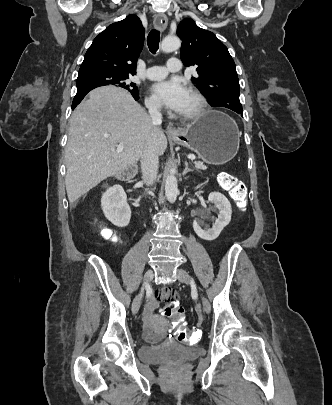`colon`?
Instances as JSON below:
<instances>
[{
    "mask_svg": "<svg viewBox=\"0 0 332 405\" xmlns=\"http://www.w3.org/2000/svg\"><path fill=\"white\" fill-rule=\"evenodd\" d=\"M219 184L223 189L229 192L232 199L237 203L240 209H244L247 200V191L244 183L236 176L229 173H222L219 176ZM102 233L105 238H113L110 231L103 227ZM170 288V287H168ZM160 301L163 306V318L169 323V328L173 333H170V342H182L185 344L195 345L201 338L203 327L201 325H189L188 321L191 317V312L186 310V307H181L177 294L175 299L168 301Z\"/></svg>",
    "mask_w": 332,
    "mask_h": 405,
    "instance_id": "5ec220e1",
    "label": "colon"
}]
</instances>
